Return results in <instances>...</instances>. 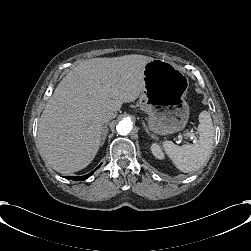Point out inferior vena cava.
Segmentation results:
<instances>
[{
	"label": "inferior vena cava",
	"mask_w": 251,
	"mask_h": 251,
	"mask_svg": "<svg viewBox=\"0 0 251 251\" xmlns=\"http://www.w3.org/2000/svg\"><path fill=\"white\" fill-rule=\"evenodd\" d=\"M115 117H116V114L115 113H111V114H109L107 116H104L103 119H102V121H103V123H106V122H108L109 120H111V119H113Z\"/></svg>",
	"instance_id": "obj_1"
}]
</instances>
